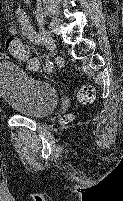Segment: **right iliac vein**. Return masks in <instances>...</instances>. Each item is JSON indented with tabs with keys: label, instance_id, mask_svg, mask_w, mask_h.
<instances>
[{
	"label": "right iliac vein",
	"instance_id": "63e3f726",
	"mask_svg": "<svg viewBox=\"0 0 123 201\" xmlns=\"http://www.w3.org/2000/svg\"><path fill=\"white\" fill-rule=\"evenodd\" d=\"M40 35L43 39V43L49 51H53L55 49V43L52 37L50 36L49 32L44 29L40 28Z\"/></svg>",
	"mask_w": 123,
	"mask_h": 201
}]
</instances>
